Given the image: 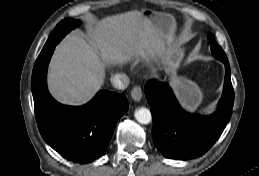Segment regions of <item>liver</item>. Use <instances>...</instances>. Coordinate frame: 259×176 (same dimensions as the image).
I'll list each match as a JSON object with an SVG mask.
<instances>
[{
    "instance_id": "1",
    "label": "liver",
    "mask_w": 259,
    "mask_h": 176,
    "mask_svg": "<svg viewBox=\"0 0 259 176\" xmlns=\"http://www.w3.org/2000/svg\"><path fill=\"white\" fill-rule=\"evenodd\" d=\"M164 52V41L140 11L105 17L90 40L72 34L57 47L49 65L48 86L61 103L82 105L103 86L105 67L132 58L150 61Z\"/></svg>"
}]
</instances>
